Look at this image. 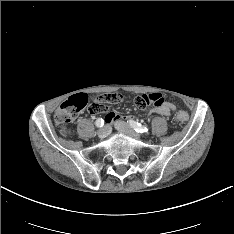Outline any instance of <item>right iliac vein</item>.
<instances>
[{
	"instance_id": "obj_1",
	"label": "right iliac vein",
	"mask_w": 234,
	"mask_h": 234,
	"mask_svg": "<svg viewBox=\"0 0 234 234\" xmlns=\"http://www.w3.org/2000/svg\"><path fill=\"white\" fill-rule=\"evenodd\" d=\"M110 132V128L108 125L104 126L103 128H100L97 132V135L99 138L103 139L106 138L108 136Z\"/></svg>"
}]
</instances>
